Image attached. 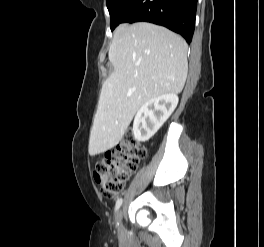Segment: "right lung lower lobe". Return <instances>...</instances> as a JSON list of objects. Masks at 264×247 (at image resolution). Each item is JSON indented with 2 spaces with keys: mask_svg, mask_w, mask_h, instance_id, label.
I'll list each match as a JSON object with an SVG mask.
<instances>
[{
  "mask_svg": "<svg viewBox=\"0 0 264 247\" xmlns=\"http://www.w3.org/2000/svg\"><path fill=\"white\" fill-rule=\"evenodd\" d=\"M197 0H131L118 18L124 22H150L180 34L187 43L192 40Z\"/></svg>",
  "mask_w": 264,
  "mask_h": 247,
  "instance_id": "obj_1",
  "label": "right lung lower lobe"
}]
</instances>
